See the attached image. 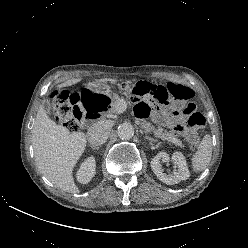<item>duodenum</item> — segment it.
<instances>
[{"label":"duodenum","instance_id":"duodenum-1","mask_svg":"<svg viewBox=\"0 0 248 248\" xmlns=\"http://www.w3.org/2000/svg\"><path fill=\"white\" fill-rule=\"evenodd\" d=\"M98 114L92 113L89 110L84 111V120L85 121H95L98 119Z\"/></svg>","mask_w":248,"mask_h":248}]
</instances>
